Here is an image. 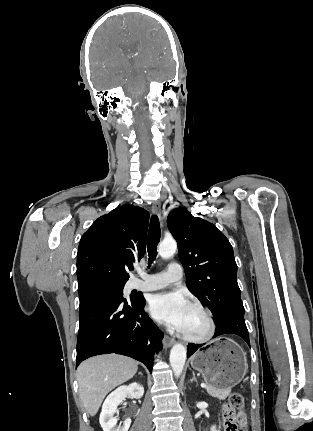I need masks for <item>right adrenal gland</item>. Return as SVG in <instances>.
I'll return each mask as SVG.
<instances>
[{"mask_svg": "<svg viewBox=\"0 0 313 431\" xmlns=\"http://www.w3.org/2000/svg\"><path fill=\"white\" fill-rule=\"evenodd\" d=\"M138 374H139V375H142V373H141V372H139Z\"/></svg>", "mask_w": 313, "mask_h": 431, "instance_id": "right-adrenal-gland-1", "label": "right adrenal gland"}]
</instances>
